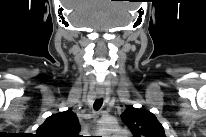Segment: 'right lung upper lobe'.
Here are the masks:
<instances>
[{
    "label": "right lung upper lobe",
    "mask_w": 206,
    "mask_h": 137,
    "mask_svg": "<svg viewBox=\"0 0 206 137\" xmlns=\"http://www.w3.org/2000/svg\"><path fill=\"white\" fill-rule=\"evenodd\" d=\"M80 125L76 115L67 110L48 117L37 129L38 137H78Z\"/></svg>",
    "instance_id": "right-lung-upper-lobe-1"
}]
</instances>
